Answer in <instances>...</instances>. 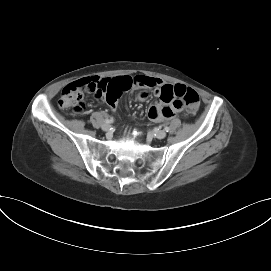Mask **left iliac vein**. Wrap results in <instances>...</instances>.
Returning <instances> with one entry per match:
<instances>
[{
    "label": "left iliac vein",
    "mask_w": 271,
    "mask_h": 271,
    "mask_svg": "<svg viewBox=\"0 0 271 271\" xmlns=\"http://www.w3.org/2000/svg\"><path fill=\"white\" fill-rule=\"evenodd\" d=\"M153 134L158 139H163L166 137V132L163 130H155L153 131Z\"/></svg>",
    "instance_id": "4c4485c4"
}]
</instances>
